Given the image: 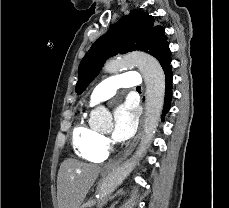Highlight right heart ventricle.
Instances as JSON below:
<instances>
[{
	"mask_svg": "<svg viewBox=\"0 0 229 208\" xmlns=\"http://www.w3.org/2000/svg\"><path fill=\"white\" fill-rule=\"evenodd\" d=\"M87 113L79 115L71 132V146L74 154L81 160L98 162L104 158V151L100 147L101 135L86 122Z\"/></svg>",
	"mask_w": 229,
	"mask_h": 208,
	"instance_id": "1",
	"label": "right heart ventricle"
}]
</instances>
